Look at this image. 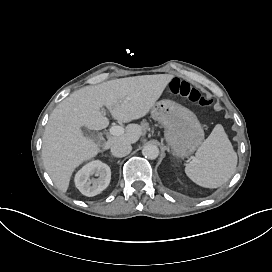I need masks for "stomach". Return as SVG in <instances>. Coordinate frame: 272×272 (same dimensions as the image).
<instances>
[{"instance_id":"obj_1","label":"stomach","mask_w":272,"mask_h":272,"mask_svg":"<svg viewBox=\"0 0 272 272\" xmlns=\"http://www.w3.org/2000/svg\"><path fill=\"white\" fill-rule=\"evenodd\" d=\"M151 116L165 128V139L174 156L186 157L202 144L204 130L186 107L172 100H160L152 106Z\"/></svg>"}]
</instances>
